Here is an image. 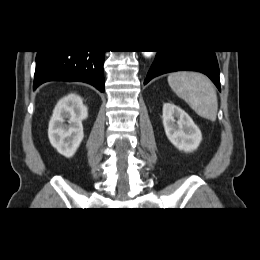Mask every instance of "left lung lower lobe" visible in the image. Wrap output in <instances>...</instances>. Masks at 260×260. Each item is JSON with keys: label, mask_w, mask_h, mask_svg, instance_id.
Returning a JSON list of instances; mask_svg holds the SVG:
<instances>
[{"label": "left lung lower lobe", "mask_w": 260, "mask_h": 260, "mask_svg": "<svg viewBox=\"0 0 260 260\" xmlns=\"http://www.w3.org/2000/svg\"><path fill=\"white\" fill-rule=\"evenodd\" d=\"M181 70L206 74L220 91L219 67L214 51H158L144 84L161 74Z\"/></svg>", "instance_id": "obj_1"}]
</instances>
